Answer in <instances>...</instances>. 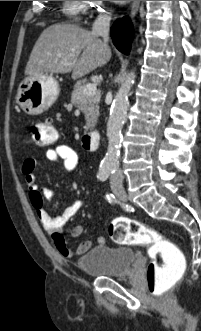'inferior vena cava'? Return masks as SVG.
Instances as JSON below:
<instances>
[{"mask_svg":"<svg viewBox=\"0 0 201 331\" xmlns=\"http://www.w3.org/2000/svg\"><path fill=\"white\" fill-rule=\"evenodd\" d=\"M110 15L107 13L100 14L95 22L93 23L92 33L97 36H102L104 40V45L107 46L108 35H109V25H110ZM117 176L122 180V174L119 171Z\"/></svg>","mask_w":201,"mask_h":331,"instance_id":"602c4592","label":"inferior vena cava"}]
</instances>
